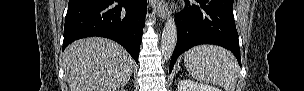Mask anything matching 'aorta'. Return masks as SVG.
<instances>
[{
    "mask_svg": "<svg viewBox=\"0 0 304 91\" xmlns=\"http://www.w3.org/2000/svg\"><path fill=\"white\" fill-rule=\"evenodd\" d=\"M177 42V25L172 18L171 13H168L167 21L165 23L162 38H161V54L163 58L168 61L175 49Z\"/></svg>",
    "mask_w": 304,
    "mask_h": 91,
    "instance_id": "1",
    "label": "aorta"
}]
</instances>
